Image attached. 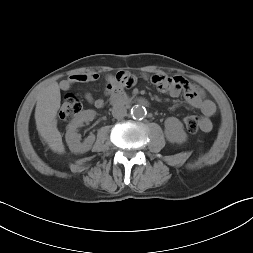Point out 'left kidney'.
I'll return each instance as SVG.
<instances>
[{"instance_id": "obj_1", "label": "left kidney", "mask_w": 253, "mask_h": 253, "mask_svg": "<svg viewBox=\"0 0 253 253\" xmlns=\"http://www.w3.org/2000/svg\"><path fill=\"white\" fill-rule=\"evenodd\" d=\"M165 136L171 143H183L187 139L183 124L175 117H168L165 120Z\"/></svg>"}]
</instances>
